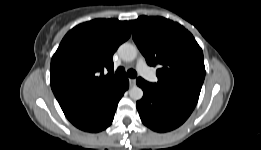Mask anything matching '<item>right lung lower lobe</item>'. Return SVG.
<instances>
[{
  "mask_svg": "<svg viewBox=\"0 0 261 150\" xmlns=\"http://www.w3.org/2000/svg\"><path fill=\"white\" fill-rule=\"evenodd\" d=\"M128 87L129 81L123 77L122 85L116 92L69 121L77 128L88 132L106 129L112 123L118 102Z\"/></svg>",
  "mask_w": 261,
  "mask_h": 150,
  "instance_id": "1",
  "label": "right lung lower lobe"
}]
</instances>
